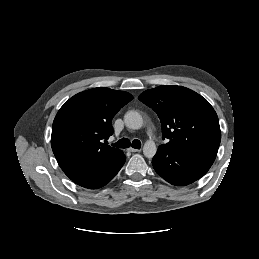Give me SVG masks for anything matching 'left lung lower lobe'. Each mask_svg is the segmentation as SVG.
<instances>
[{"mask_svg": "<svg viewBox=\"0 0 259 259\" xmlns=\"http://www.w3.org/2000/svg\"><path fill=\"white\" fill-rule=\"evenodd\" d=\"M214 160L215 156L180 154L160 145L152 164L157 174L167 182L185 186L206 174Z\"/></svg>", "mask_w": 259, "mask_h": 259, "instance_id": "0a47b994", "label": "left lung lower lobe"}]
</instances>
